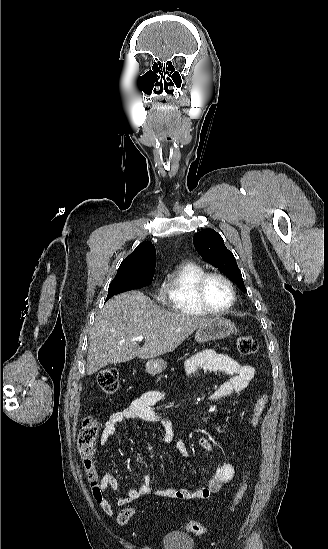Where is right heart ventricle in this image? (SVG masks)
<instances>
[{"label": "right heart ventricle", "mask_w": 328, "mask_h": 549, "mask_svg": "<svg viewBox=\"0 0 328 549\" xmlns=\"http://www.w3.org/2000/svg\"><path fill=\"white\" fill-rule=\"evenodd\" d=\"M207 271L199 260H191L174 268L164 280L156 294V303H174V310H180V319H205L195 311L197 305L194 291L197 280Z\"/></svg>", "instance_id": "right-heart-ventricle-1"}]
</instances>
